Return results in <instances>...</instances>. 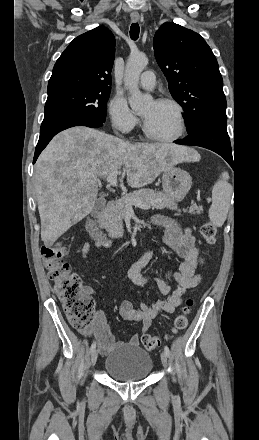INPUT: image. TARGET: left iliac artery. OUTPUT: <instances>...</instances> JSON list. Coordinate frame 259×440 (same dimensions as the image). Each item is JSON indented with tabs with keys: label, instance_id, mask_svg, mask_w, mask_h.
<instances>
[{
	"label": "left iliac artery",
	"instance_id": "1",
	"mask_svg": "<svg viewBox=\"0 0 259 440\" xmlns=\"http://www.w3.org/2000/svg\"><path fill=\"white\" fill-rule=\"evenodd\" d=\"M164 351H165V353L167 354V356L170 355V350H169L168 346H165V347H164Z\"/></svg>",
	"mask_w": 259,
	"mask_h": 440
}]
</instances>
